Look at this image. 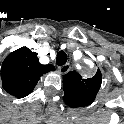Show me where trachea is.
<instances>
[{
    "mask_svg": "<svg viewBox=\"0 0 124 124\" xmlns=\"http://www.w3.org/2000/svg\"><path fill=\"white\" fill-rule=\"evenodd\" d=\"M67 54L64 51H59L56 57V64L62 66L67 62Z\"/></svg>",
    "mask_w": 124,
    "mask_h": 124,
    "instance_id": "1",
    "label": "trachea"
}]
</instances>
